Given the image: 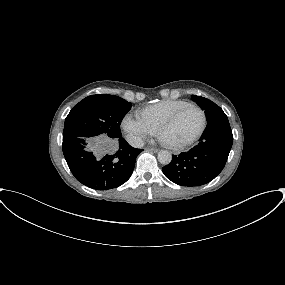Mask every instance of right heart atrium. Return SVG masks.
Masks as SVG:
<instances>
[{"mask_svg": "<svg viewBox=\"0 0 285 285\" xmlns=\"http://www.w3.org/2000/svg\"><path fill=\"white\" fill-rule=\"evenodd\" d=\"M122 126L130 142L134 145H141L148 136L155 133V129L138 115L127 114L123 119Z\"/></svg>", "mask_w": 285, "mask_h": 285, "instance_id": "1", "label": "right heart atrium"}]
</instances>
